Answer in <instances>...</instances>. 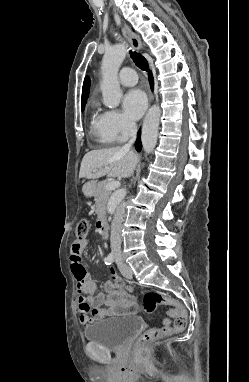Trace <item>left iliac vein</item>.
Instances as JSON below:
<instances>
[{"instance_id": "obj_1", "label": "left iliac vein", "mask_w": 249, "mask_h": 382, "mask_svg": "<svg viewBox=\"0 0 249 382\" xmlns=\"http://www.w3.org/2000/svg\"><path fill=\"white\" fill-rule=\"evenodd\" d=\"M116 263H117L118 268H119L120 272L122 273V275L126 279H131L132 278V270H131L130 266L127 265L126 263H124L120 257H117Z\"/></svg>"}]
</instances>
